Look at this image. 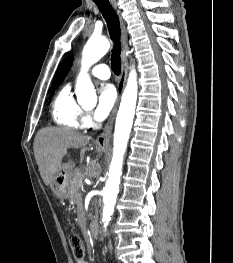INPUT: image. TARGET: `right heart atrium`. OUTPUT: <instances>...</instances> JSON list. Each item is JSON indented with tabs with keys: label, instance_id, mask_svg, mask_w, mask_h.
Listing matches in <instances>:
<instances>
[{
	"label": "right heart atrium",
	"instance_id": "1",
	"mask_svg": "<svg viewBox=\"0 0 233 263\" xmlns=\"http://www.w3.org/2000/svg\"><path fill=\"white\" fill-rule=\"evenodd\" d=\"M83 127H89L91 125V117L87 112H83L81 117Z\"/></svg>",
	"mask_w": 233,
	"mask_h": 263
}]
</instances>
